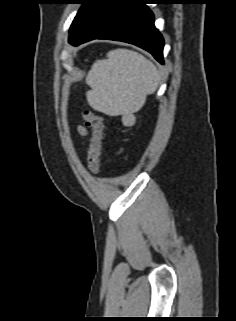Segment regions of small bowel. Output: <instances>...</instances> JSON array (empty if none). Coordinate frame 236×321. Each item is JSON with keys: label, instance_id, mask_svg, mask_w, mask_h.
Masks as SVG:
<instances>
[{"label": "small bowel", "instance_id": "1", "mask_svg": "<svg viewBox=\"0 0 236 321\" xmlns=\"http://www.w3.org/2000/svg\"><path fill=\"white\" fill-rule=\"evenodd\" d=\"M79 133H80L81 135H85V134H86V130H85L83 127H80V128H79Z\"/></svg>", "mask_w": 236, "mask_h": 321}]
</instances>
